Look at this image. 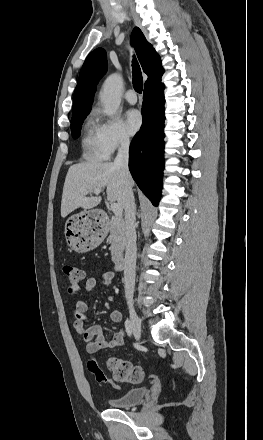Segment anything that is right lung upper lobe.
Returning <instances> with one entry per match:
<instances>
[{"instance_id": "cb5924a9", "label": "right lung upper lobe", "mask_w": 263, "mask_h": 440, "mask_svg": "<svg viewBox=\"0 0 263 440\" xmlns=\"http://www.w3.org/2000/svg\"><path fill=\"white\" fill-rule=\"evenodd\" d=\"M131 40L143 71L148 75L145 85L161 78L164 70L160 57L139 28H134ZM106 70V52L103 48H97L87 56L80 71L73 96L72 117L90 112L96 84Z\"/></svg>"}]
</instances>
